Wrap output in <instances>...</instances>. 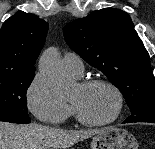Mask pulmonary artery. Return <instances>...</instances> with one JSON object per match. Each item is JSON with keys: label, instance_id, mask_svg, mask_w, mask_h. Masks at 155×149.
<instances>
[{"label": "pulmonary artery", "instance_id": "pulmonary-artery-1", "mask_svg": "<svg viewBox=\"0 0 155 149\" xmlns=\"http://www.w3.org/2000/svg\"><path fill=\"white\" fill-rule=\"evenodd\" d=\"M65 70L75 76H81L84 72V64L81 57L75 53H67L63 57Z\"/></svg>", "mask_w": 155, "mask_h": 149}]
</instances>
